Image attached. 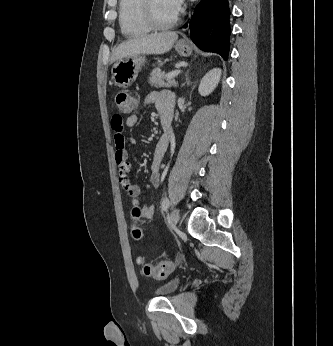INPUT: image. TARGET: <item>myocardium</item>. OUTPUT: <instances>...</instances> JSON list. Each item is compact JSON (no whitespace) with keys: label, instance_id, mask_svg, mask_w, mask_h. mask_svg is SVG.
<instances>
[{"label":"myocardium","instance_id":"1","mask_svg":"<svg viewBox=\"0 0 333 346\" xmlns=\"http://www.w3.org/2000/svg\"><path fill=\"white\" fill-rule=\"evenodd\" d=\"M144 16L151 28L163 30L172 27L178 20V13L167 21H160L154 13L153 0H142Z\"/></svg>","mask_w":333,"mask_h":346}]
</instances>
